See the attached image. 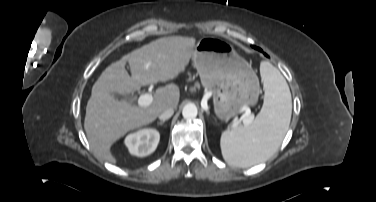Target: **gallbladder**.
I'll use <instances>...</instances> for the list:
<instances>
[{"instance_id": "gallbladder-1", "label": "gallbladder", "mask_w": 376, "mask_h": 202, "mask_svg": "<svg viewBox=\"0 0 376 202\" xmlns=\"http://www.w3.org/2000/svg\"><path fill=\"white\" fill-rule=\"evenodd\" d=\"M115 97H116V98H120V99H127V95H119V94H115Z\"/></svg>"}]
</instances>
